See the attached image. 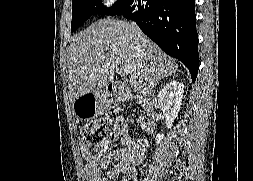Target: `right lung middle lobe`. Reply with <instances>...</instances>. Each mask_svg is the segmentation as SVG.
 Here are the masks:
<instances>
[{
    "label": "right lung middle lobe",
    "mask_w": 253,
    "mask_h": 181,
    "mask_svg": "<svg viewBox=\"0 0 253 181\" xmlns=\"http://www.w3.org/2000/svg\"><path fill=\"white\" fill-rule=\"evenodd\" d=\"M130 0H119L111 8H106L101 0H72L71 31H75L93 14L115 15L126 8Z\"/></svg>",
    "instance_id": "right-lung-middle-lobe-1"
}]
</instances>
